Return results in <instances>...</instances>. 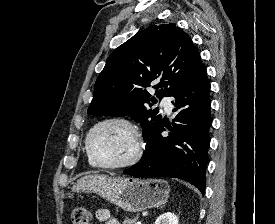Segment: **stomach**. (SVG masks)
<instances>
[{
  "instance_id": "stomach-1",
  "label": "stomach",
  "mask_w": 275,
  "mask_h": 224,
  "mask_svg": "<svg viewBox=\"0 0 275 224\" xmlns=\"http://www.w3.org/2000/svg\"><path fill=\"white\" fill-rule=\"evenodd\" d=\"M72 191L95 193L125 211L140 212L164 204L168 199L170 187L162 179L87 175L74 183Z\"/></svg>"
}]
</instances>
